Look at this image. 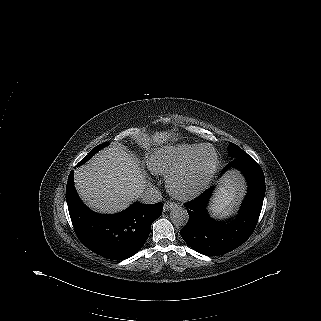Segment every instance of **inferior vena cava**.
I'll use <instances>...</instances> for the list:
<instances>
[{
  "label": "inferior vena cava",
  "mask_w": 321,
  "mask_h": 321,
  "mask_svg": "<svg viewBox=\"0 0 321 321\" xmlns=\"http://www.w3.org/2000/svg\"><path fill=\"white\" fill-rule=\"evenodd\" d=\"M140 198H141V202L144 204H154L161 200L162 194L155 187H148L140 195Z\"/></svg>",
  "instance_id": "obj_1"
}]
</instances>
